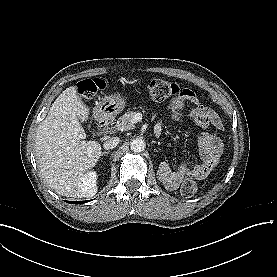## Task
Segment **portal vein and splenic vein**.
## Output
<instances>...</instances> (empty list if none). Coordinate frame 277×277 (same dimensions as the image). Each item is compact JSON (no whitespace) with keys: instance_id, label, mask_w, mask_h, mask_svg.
Instances as JSON below:
<instances>
[{"instance_id":"18ae733b","label":"portal vein and splenic vein","mask_w":277,"mask_h":277,"mask_svg":"<svg viewBox=\"0 0 277 277\" xmlns=\"http://www.w3.org/2000/svg\"><path fill=\"white\" fill-rule=\"evenodd\" d=\"M136 121H139V116H138V114H135V116H134L133 119H132V122H133V123L136 122ZM121 130H123V129H121Z\"/></svg>"}]
</instances>
